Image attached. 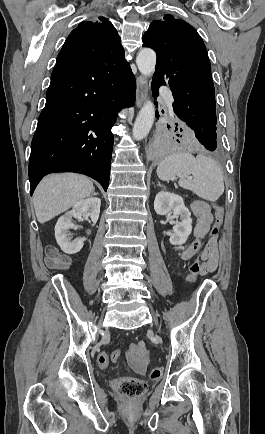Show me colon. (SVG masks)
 I'll use <instances>...</instances> for the list:
<instances>
[{
    "instance_id": "1",
    "label": "colon",
    "mask_w": 265,
    "mask_h": 434,
    "mask_svg": "<svg viewBox=\"0 0 265 434\" xmlns=\"http://www.w3.org/2000/svg\"><path fill=\"white\" fill-rule=\"evenodd\" d=\"M214 214L212 219L214 226L210 232V237H214L222 224L224 218V210L219 204L214 206ZM46 265L51 269H64L66 268L68 261L61 255L54 247H49L46 251ZM201 259H196L191 263L190 269L193 271L192 278H185L186 282L191 284L196 279V270L200 269ZM119 358L118 354L114 355V359ZM98 365L101 368H106L109 364V360L106 354L102 353L97 358ZM163 371L161 368L155 367L149 371V378L151 380H159L162 378ZM114 388L123 395L134 397L145 393L148 389L147 382L135 377L121 376L118 377L114 383Z\"/></svg>"
}]
</instances>
